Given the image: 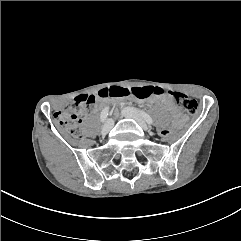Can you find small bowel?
I'll use <instances>...</instances> for the list:
<instances>
[{"instance_id": "small-bowel-1", "label": "small bowel", "mask_w": 241, "mask_h": 241, "mask_svg": "<svg viewBox=\"0 0 241 241\" xmlns=\"http://www.w3.org/2000/svg\"><path fill=\"white\" fill-rule=\"evenodd\" d=\"M152 100H159L162 104H164L167 109L176 117H180V112L172 99L168 95H159L152 98Z\"/></svg>"}]
</instances>
